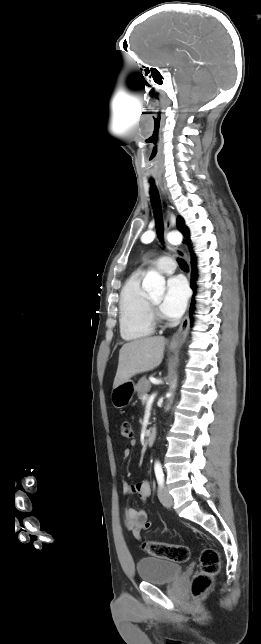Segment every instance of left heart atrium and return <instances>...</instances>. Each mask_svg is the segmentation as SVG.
<instances>
[{"label": "left heart atrium", "mask_w": 261, "mask_h": 644, "mask_svg": "<svg viewBox=\"0 0 261 644\" xmlns=\"http://www.w3.org/2000/svg\"><path fill=\"white\" fill-rule=\"evenodd\" d=\"M188 289L185 281L174 276L168 279L160 310L167 318H178L186 308Z\"/></svg>", "instance_id": "obj_1"}]
</instances>
